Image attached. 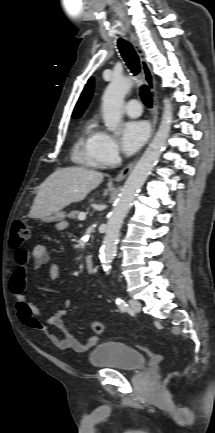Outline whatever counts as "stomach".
Here are the masks:
<instances>
[{"label": "stomach", "instance_id": "0dacf381", "mask_svg": "<svg viewBox=\"0 0 215 433\" xmlns=\"http://www.w3.org/2000/svg\"><path fill=\"white\" fill-rule=\"evenodd\" d=\"M64 217H65L64 212L59 210V211L52 213L50 216L44 218V220L47 222L62 221L64 219Z\"/></svg>", "mask_w": 215, "mask_h": 433}]
</instances>
